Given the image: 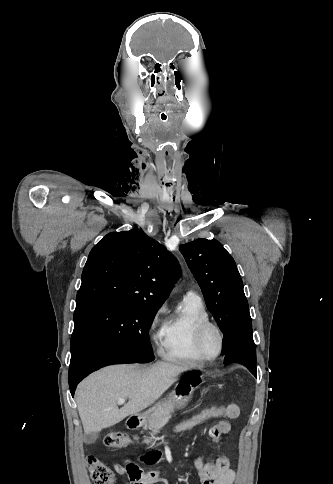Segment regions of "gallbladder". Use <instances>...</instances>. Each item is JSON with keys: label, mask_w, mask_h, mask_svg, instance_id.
<instances>
[{"label": "gallbladder", "mask_w": 333, "mask_h": 484, "mask_svg": "<svg viewBox=\"0 0 333 484\" xmlns=\"http://www.w3.org/2000/svg\"><path fill=\"white\" fill-rule=\"evenodd\" d=\"M98 437V432H92L84 436V441L86 443H92Z\"/></svg>", "instance_id": "1"}]
</instances>
